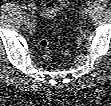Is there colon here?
Segmentation results:
<instances>
[{
	"label": "colon",
	"mask_w": 111,
	"mask_h": 106,
	"mask_svg": "<svg viewBox=\"0 0 111 106\" xmlns=\"http://www.w3.org/2000/svg\"><path fill=\"white\" fill-rule=\"evenodd\" d=\"M39 45L42 48V50L45 54V57L48 58L51 55L52 50H51L50 42L48 41V39L45 36H43L40 39Z\"/></svg>",
	"instance_id": "5ec220e1"
}]
</instances>
